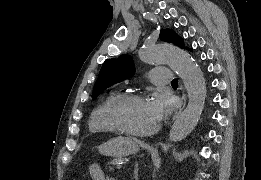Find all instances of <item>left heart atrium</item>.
Listing matches in <instances>:
<instances>
[{"label": "left heart atrium", "mask_w": 261, "mask_h": 180, "mask_svg": "<svg viewBox=\"0 0 261 180\" xmlns=\"http://www.w3.org/2000/svg\"><path fill=\"white\" fill-rule=\"evenodd\" d=\"M150 102L152 107L160 115L171 112L175 107L176 100L168 93L158 91L153 94Z\"/></svg>", "instance_id": "obj_1"}]
</instances>
